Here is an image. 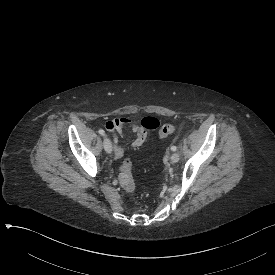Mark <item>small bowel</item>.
<instances>
[{
	"mask_svg": "<svg viewBox=\"0 0 275 275\" xmlns=\"http://www.w3.org/2000/svg\"><path fill=\"white\" fill-rule=\"evenodd\" d=\"M160 125V120L156 117L145 116L140 125H135L132 118L122 119H107L104 122V129L110 132L112 136H118L119 138H131L132 133L137 134V138L133 142V146L140 147L144 144L146 139V130H156ZM128 129L125 131L124 129ZM122 155V150L116 146L114 149V156L116 158Z\"/></svg>",
	"mask_w": 275,
	"mask_h": 275,
	"instance_id": "obj_1",
	"label": "small bowel"
}]
</instances>
